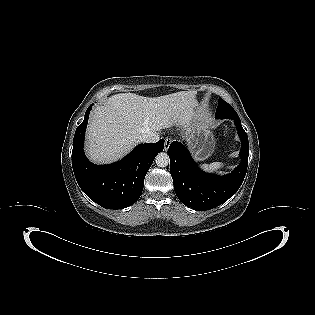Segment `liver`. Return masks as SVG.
Listing matches in <instances>:
<instances>
[{"label":"liver","instance_id":"liver-1","mask_svg":"<svg viewBox=\"0 0 315 315\" xmlns=\"http://www.w3.org/2000/svg\"><path fill=\"white\" fill-rule=\"evenodd\" d=\"M196 91L159 97L121 93L97 106L87 127L86 152L96 163H111L126 155L149 132L172 126L188 130L198 120Z\"/></svg>","mask_w":315,"mask_h":315}]
</instances>
